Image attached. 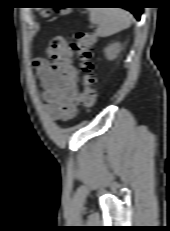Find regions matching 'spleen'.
Instances as JSON below:
<instances>
[{
  "label": "spleen",
  "mask_w": 170,
  "mask_h": 231,
  "mask_svg": "<svg viewBox=\"0 0 170 231\" xmlns=\"http://www.w3.org/2000/svg\"><path fill=\"white\" fill-rule=\"evenodd\" d=\"M90 21L98 25L97 36L108 37L128 28L131 17L127 11L120 8H91Z\"/></svg>",
  "instance_id": "1"
}]
</instances>
